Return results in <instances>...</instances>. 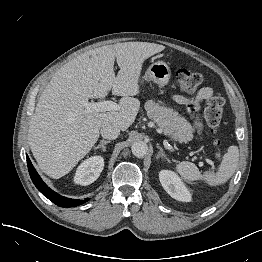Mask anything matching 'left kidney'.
I'll use <instances>...</instances> for the list:
<instances>
[{
	"label": "left kidney",
	"mask_w": 262,
	"mask_h": 262,
	"mask_svg": "<svg viewBox=\"0 0 262 262\" xmlns=\"http://www.w3.org/2000/svg\"><path fill=\"white\" fill-rule=\"evenodd\" d=\"M159 180L164 190L174 199L183 202L191 201V194L180 180V178L170 170H162L159 173Z\"/></svg>",
	"instance_id": "1"
}]
</instances>
